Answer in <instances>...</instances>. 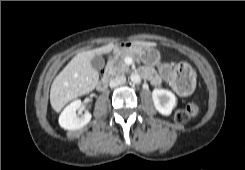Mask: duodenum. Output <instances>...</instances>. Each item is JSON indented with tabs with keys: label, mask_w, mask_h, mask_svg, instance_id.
Segmentation results:
<instances>
[{
	"label": "duodenum",
	"mask_w": 245,
	"mask_h": 170,
	"mask_svg": "<svg viewBox=\"0 0 245 170\" xmlns=\"http://www.w3.org/2000/svg\"><path fill=\"white\" fill-rule=\"evenodd\" d=\"M127 46H128V43L126 42H118L114 45L112 53H110L108 56L106 70L98 83V86H97L98 91H104L107 89L109 80H110V71L112 69V64H113L115 53L119 51L120 49L126 48Z\"/></svg>",
	"instance_id": "duodenum-1"
}]
</instances>
